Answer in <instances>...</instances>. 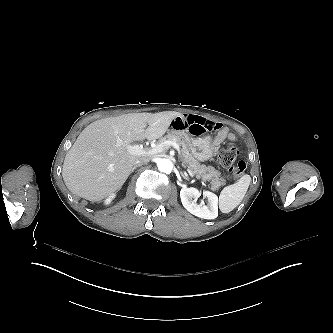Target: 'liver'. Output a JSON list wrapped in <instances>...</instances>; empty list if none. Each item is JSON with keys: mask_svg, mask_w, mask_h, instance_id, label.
<instances>
[{"mask_svg": "<svg viewBox=\"0 0 333 333\" xmlns=\"http://www.w3.org/2000/svg\"><path fill=\"white\" fill-rule=\"evenodd\" d=\"M184 115L175 111L131 113L96 120L77 137L66 153L62 177L74 195L103 202L123 186L137 160L128 151L135 141L160 139L172 121Z\"/></svg>", "mask_w": 333, "mask_h": 333, "instance_id": "liver-1", "label": "liver"}]
</instances>
